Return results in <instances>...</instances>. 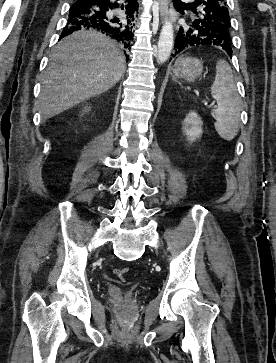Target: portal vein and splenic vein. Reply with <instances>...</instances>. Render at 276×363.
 <instances>
[{"mask_svg":"<svg viewBox=\"0 0 276 363\" xmlns=\"http://www.w3.org/2000/svg\"><path fill=\"white\" fill-rule=\"evenodd\" d=\"M208 103L207 102H205V105H207ZM209 107H213V103L212 104H210L209 105Z\"/></svg>","mask_w":276,"mask_h":363,"instance_id":"1","label":"portal vein and splenic vein"}]
</instances>
